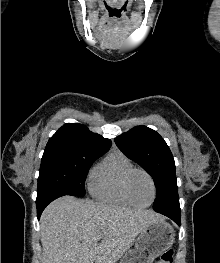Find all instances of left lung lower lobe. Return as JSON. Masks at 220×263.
Instances as JSON below:
<instances>
[{
    "instance_id": "left-lung-lower-lobe-1",
    "label": "left lung lower lobe",
    "mask_w": 220,
    "mask_h": 263,
    "mask_svg": "<svg viewBox=\"0 0 220 263\" xmlns=\"http://www.w3.org/2000/svg\"><path fill=\"white\" fill-rule=\"evenodd\" d=\"M159 213L166 215L167 217L175 221L178 225H180L181 211L172 209V210L161 211Z\"/></svg>"
}]
</instances>
